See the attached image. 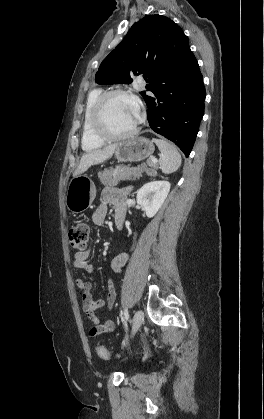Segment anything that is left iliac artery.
I'll list each match as a JSON object with an SVG mask.
<instances>
[{
    "instance_id": "obj_1",
    "label": "left iliac artery",
    "mask_w": 264,
    "mask_h": 419,
    "mask_svg": "<svg viewBox=\"0 0 264 419\" xmlns=\"http://www.w3.org/2000/svg\"><path fill=\"white\" fill-rule=\"evenodd\" d=\"M124 318L126 320H128V318H129V314H128V310L127 309L124 310Z\"/></svg>"
}]
</instances>
